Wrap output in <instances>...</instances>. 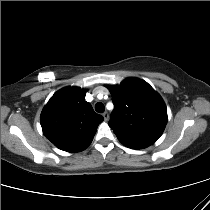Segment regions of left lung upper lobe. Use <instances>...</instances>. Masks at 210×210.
<instances>
[{
    "label": "left lung upper lobe",
    "instance_id": "1",
    "mask_svg": "<svg viewBox=\"0 0 210 210\" xmlns=\"http://www.w3.org/2000/svg\"><path fill=\"white\" fill-rule=\"evenodd\" d=\"M109 89L115 105L109 126L119 141L132 149L156 142L167 123L166 106L159 94L137 78H128Z\"/></svg>",
    "mask_w": 210,
    "mask_h": 210
}]
</instances>
